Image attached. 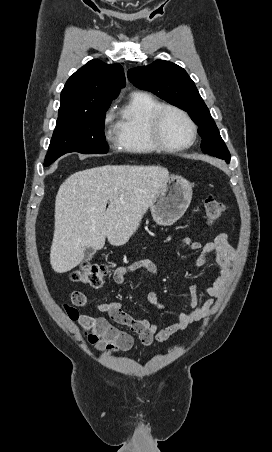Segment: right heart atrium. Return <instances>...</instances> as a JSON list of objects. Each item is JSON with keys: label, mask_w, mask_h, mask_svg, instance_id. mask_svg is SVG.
I'll return each instance as SVG.
<instances>
[{"label": "right heart atrium", "mask_w": 272, "mask_h": 452, "mask_svg": "<svg viewBox=\"0 0 272 452\" xmlns=\"http://www.w3.org/2000/svg\"><path fill=\"white\" fill-rule=\"evenodd\" d=\"M113 119L112 109H108L103 117V123L105 125L104 136L112 144V146H119L118 134H114L112 131L107 129V126L111 123Z\"/></svg>", "instance_id": "1"}]
</instances>
